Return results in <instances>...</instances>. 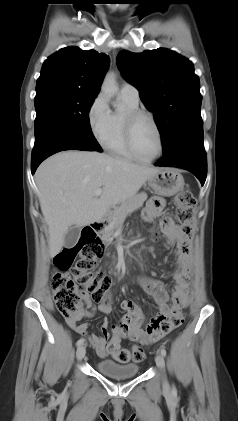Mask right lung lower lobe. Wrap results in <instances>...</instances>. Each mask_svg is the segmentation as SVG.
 <instances>
[{"label": "right lung lower lobe", "instance_id": "right-lung-lower-lobe-1", "mask_svg": "<svg viewBox=\"0 0 238 421\" xmlns=\"http://www.w3.org/2000/svg\"><path fill=\"white\" fill-rule=\"evenodd\" d=\"M64 150L97 151L65 129L57 125H47L35 137L31 161L32 174L47 157Z\"/></svg>", "mask_w": 238, "mask_h": 421}]
</instances>
